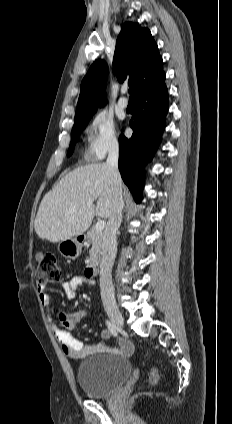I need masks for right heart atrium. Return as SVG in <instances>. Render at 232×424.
<instances>
[{"label":"right heart atrium","instance_id":"obj_1","mask_svg":"<svg viewBox=\"0 0 232 424\" xmlns=\"http://www.w3.org/2000/svg\"><path fill=\"white\" fill-rule=\"evenodd\" d=\"M118 147L119 133L115 121L106 112H97L89 125L88 154L96 159H102Z\"/></svg>","mask_w":232,"mask_h":424}]
</instances>
